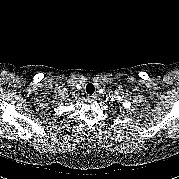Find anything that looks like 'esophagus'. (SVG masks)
<instances>
[{
  "mask_svg": "<svg viewBox=\"0 0 179 179\" xmlns=\"http://www.w3.org/2000/svg\"><path fill=\"white\" fill-rule=\"evenodd\" d=\"M89 98L95 99L97 97V94H92L88 96Z\"/></svg>",
  "mask_w": 179,
  "mask_h": 179,
  "instance_id": "esophagus-1",
  "label": "esophagus"
}]
</instances>
